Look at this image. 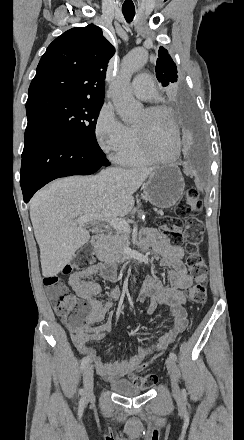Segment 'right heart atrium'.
I'll return each instance as SVG.
<instances>
[{
    "label": "right heart atrium",
    "mask_w": 244,
    "mask_h": 440,
    "mask_svg": "<svg viewBox=\"0 0 244 440\" xmlns=\"http://www.w3.org/2000/svg\"><path fill=\"white\" fill-rule=\"evenodd\" d=\"M95 137L105 153L113 157L119 152L135 148L137 140L133 128L124 124L111 105H104L95 124Z\"/></svg>",
    "instance_id": "right-heart-atrium-1"
}]
</instances>
